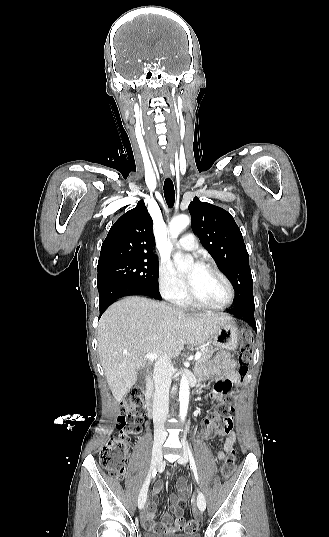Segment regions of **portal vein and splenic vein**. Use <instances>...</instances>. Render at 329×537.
Here are the masks:
<instances>
[{"mask_svg": "<svg viewBox=\"0 0 329 537\" xmlns=\"http://www.w3.org/2000/svg\"><path fill=\"white\" fill-rule=\"evenodd\" d=\"M125 354H127V352H125ZM144 357L148 360H156L158 358L157 354H153V353H148ZM200 358H201V352H197L195 354L194 360L198 361Z\"/></svg>", "mask_w": 329, "mask_h": 537, "instance_id": "18ae733b", "label": "portal vein and splenic vein"}]
</instances>
